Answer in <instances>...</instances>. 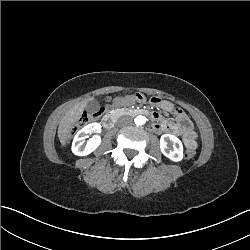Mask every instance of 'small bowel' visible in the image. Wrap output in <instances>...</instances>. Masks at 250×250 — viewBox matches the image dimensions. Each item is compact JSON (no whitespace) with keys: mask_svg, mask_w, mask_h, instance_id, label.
<instances>
[{"mask_svg":"<svg viewBox=\"0 0 250 250\" xmlns=\"http://www.w3.org/2000/svg\"><path fill=\"white\" fill-rule=\"evenodd\" d=\"M134 101V96H125V97H119L115 100H108L109 104H116V105H128L131 102ZM159 105L161 106L162 109L166 110V111H171L173 109V104L169 101L163 100V101H159L158 102ZM157 103V104H158ZM180 119L183 121V119L185 120L183 123V128H181L182 133L186 136V138L190 137L191 139L195 140L196 135L193 132L191 123L189 122V120L187 118H185L184 116H180ZM154 130L156 132H160L163 129H177V126L170 124V125H165V124H160L158 122H156L153 126Z\"/></svg>","mask_w":250,"mask_h":250,"instance_id":"c3829d8e","label":"small bowel"}]
</instances>
